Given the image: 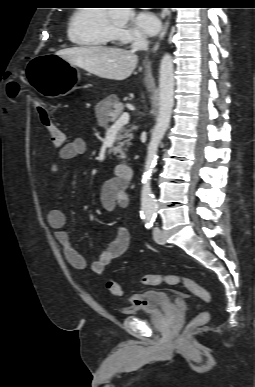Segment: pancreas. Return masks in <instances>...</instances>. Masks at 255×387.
Wrapping results in <instances>:
<instances>
[{"mask_svg":"<svg viewBox=\"0 0 255 387\" xmlns=\"http://www.w3.org/2000/svg\"><path fill=\"white\" fill-rule=\"evenodd\" d=\"M97 109L101 111L99 114L100 122L106 127L108 122L114 123L117 121L124 110V106L115 95H110L98 104ZM132 138V129H122L118 132L117 143L113 148V152L120 159L125 158L126 147L130 145Z\"/></svg>","mask_w":255,"mask_h":387,"instance_id":"cf45deb5","label":"pancreas"}]
</instances>
